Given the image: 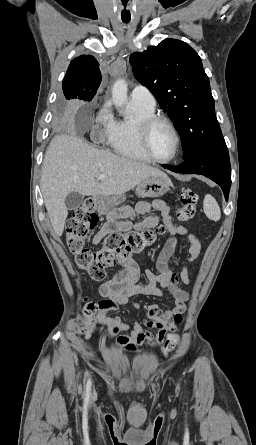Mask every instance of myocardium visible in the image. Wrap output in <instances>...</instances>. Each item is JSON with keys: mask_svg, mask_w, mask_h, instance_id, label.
Here are the masks:
<instances>
[{"mask_svg": "<svg viewBox=\"0 0 256 445\" xmlns=\"http://www.w3.org/2000/svg\"><path fill=\"white\" fill-rule=\"evenodd\" d=\"M159 123L167 125L171 129L175 138V150L173 155L168 159H160L156 157L153 154L150 146V133L153 127ZM136 128L141 148L151 161L159 164H169L178 157L181 150V137L175 124L170 119L163 116L153 115L151 117L139 120Z\"/></svg>", "mask_w": 256, "mask_h": 445, "instance_id": "obj_1", "label": "myocardium"}]
</instances>
